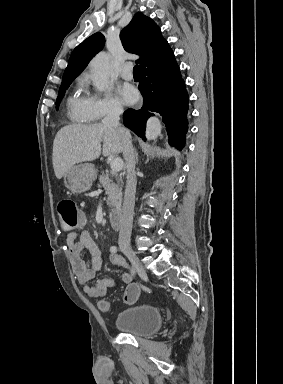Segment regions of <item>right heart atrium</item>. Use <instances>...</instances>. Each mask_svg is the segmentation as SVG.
Here are the masks:
<instances>
[{
    "label": "right heart atrium",
    "instance_id": "right-heart-atrium-1",
    "mask_svg": "<svg viewBox=\"0 0 283 384\" xmlns=\"http://www.w3.org/2000/svg\"><path fill=\"white\" fill-rule=\"evenodd\" d=\"M88 105L90 122L100 126L104 121L118 117L123 112L120 99L110 91L99 94L89 92Z\"/></svg>",
    "mask_w": 283,
    "mask_h": 384
}]
</instances>
